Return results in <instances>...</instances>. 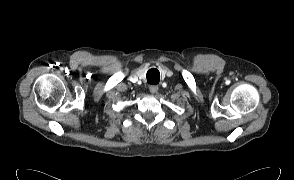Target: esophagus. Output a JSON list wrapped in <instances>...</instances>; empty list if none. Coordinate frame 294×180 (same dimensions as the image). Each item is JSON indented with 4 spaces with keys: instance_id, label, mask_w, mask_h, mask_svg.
<instances>
[{
    "instance_id": "1",
    "label": "esophagus",
    "mask_w": 294,
    "mask_h": 180,
    "mask_svg": "<svg viewBox=\"0 0 294 180\" xmlns=\"http://www.w3.org/2000/svg\"><path fill=\"white\" fill-rule=\"evenodd\" d=\"M149 90L152 94H155L158 92L159 87L158 86H151Z\"/></svg>"
}]
</instances>
